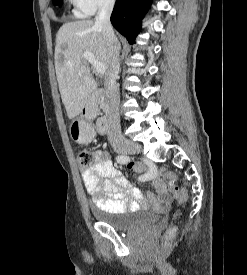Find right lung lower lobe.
<instances>
[{
	"mask_svg": "<svg viewBox=\"0 0 247 275\" xmlns=\"http://www.w3.org/2000/svg\"><path fill=\"white\" fill-rule=\"evenodd\" d=\"M152 0H117L111 15L115 29L134 43L140 31L141 20L149 9Z\"/></svg>",
	"mask_w": 247,
	"mask_h": 275,
	"instance_id": "1",
	"label": "right lung lower lobe"
}]
</instances>
